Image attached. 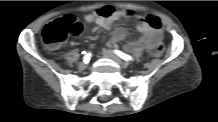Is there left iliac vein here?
Wrapping results in <instances>:
<instances>
[{"label":"left iliac vein","instance_id":"1","mask_svg":"<svg viewBox=\"0 0 218 122\" xmlns=\"http://www.w3.org/2000/svg\"><path fill=\"white\" fill-rule=\"evenodd\" d=\"M102 54H103L104 57L109 58V59H112V60H114L115 62H117L120 67H122V68H127V66H128L127 63H125L124 61H122L113 51L104 49V50L102 51Z\"/></svg>","mask_w":218,"mask_h":122}]
</instances>
